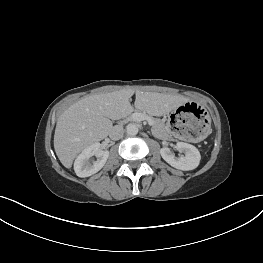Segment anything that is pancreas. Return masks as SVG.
<instances>
[{
	"label": "pancreas",
	"instance_id": "1",
	"mask_svg": "<svg viewBox=\"0 0 263 263\" xmlns=\"http://www.w3.org/2000/svg\"><path fill=\"white\" fill-rule=\"evenodd\" d=\"M135 113H142L146 116H148L145 112H140V111H136ZM152 121H153V125H152V133L157 137V138H160V139H163V140H166L169 138V134H168V128L167 126L165 125V123L161 120V119H158V118H153L151 116H149ZM127 119L129 121H132L134 120L133 119V114H130Z\"/></svg>",
	"mask_w": 263,
	"mask_h": 263
}]
</instances>
